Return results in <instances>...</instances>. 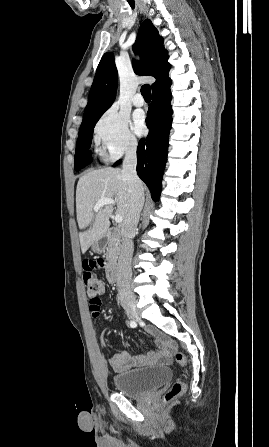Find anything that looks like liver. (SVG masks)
<instances>
[{
  "label": "liver",
  "instance_id": "6515ba94",
  "mask_svg": "<svg viewBox=\"0 0 269 447\" xmlns=\"http://www.w3.org/2000/svg\"><path fill=\"white\" fill-rule=\"evenodd\" d=\"M102 198L115 200L117 208H114L113 204H106L98 212H94V206ZM130 202L129 186L120 168L87 170V174L79 178L76 190V212L80 229H85V231H79L82 253L89 249L91 243L104 237L109 229V218L114 210H117V214L125 220L130 210Z\"/></svg>",
  "mask_w": 269,
  "mask_h": 447
}]
</instances>
